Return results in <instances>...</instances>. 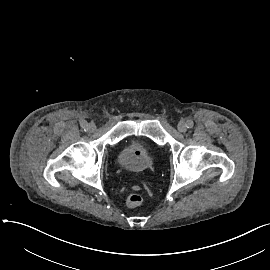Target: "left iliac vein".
I'll return each mask as SVG.
<instances>
[{
  "instance_id": "obj_1",
  "label": "left iliac vein",
  "mask_w": 270,
  "mask_h": 270,
  "mask_svg": "<svg viewBox=\"0 0 270 270\" xmlns=\"http://www.w3.org/2000/svg\"><path fill=\"white\" fill-rule=\"evenodd\" d=\"M177 128L180 132L184 133L187 131V126L186 123L184 121H180L177 125Z\"/></svg>"
}]
</instances>
